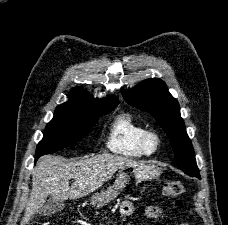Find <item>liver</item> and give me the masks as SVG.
Masks as SVG:
<instances>
[{"instance_id": "obj_1", "label": "liver", "mask_w": 228, "mask_h": 225, "mask_svg": "<svg viewBox=\"0 0 228 225\" xmlns=\"http://www.w3.org/2000/svg\"><path fill=\"white\" fill-rule=\"evenodd\" d=\"M138 165L136 161L116 155H96L83 161L68 163L63 157L45 155L32 171V191L20 225H29L33 215L41 211L47 197L52 199H81L100 189L116 171ZM70 179H74L69 187Z\"/></svg>"}]
</instances>
